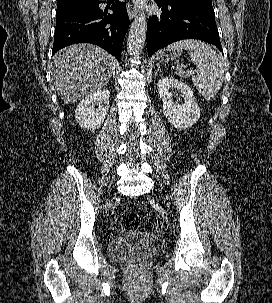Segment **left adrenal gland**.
Segmentation results:
<instances>
[{
  "label": "left adrenal gland",
  "instance_id": "1",
  "mask_svg": "<svg viewBox=\"0 0 272 303\" xmlns=\"http://www.w3.org/2000/svg\"><path fill=\"white\" fill-rule=\"evenodd\" d=\"M160 67H158L156 74L160 73Z\"/></svg>",
  "mask_w": 272,
  "mask_h": 303
}]
</instances>
